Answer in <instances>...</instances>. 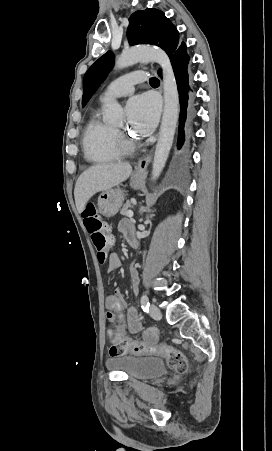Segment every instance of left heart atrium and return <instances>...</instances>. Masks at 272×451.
I'll list each match as a JSON object with an SVG mask.
<instances>
[{
  "label": "left heart atrium",
  "instance_id": "1",
  "mask_svg": "<svg viewBox=\"0 0 272 451\" xmlns=\"http://www.w3.org/2000/svg\"><path fill=\"white\" fill-rule=\"evenodd\" d=\"M126 110L132 131L143 136L153 131L159 115V103L154 97L149 94L133 97Z\"/></svg>",
  "mask_w": 272,
  "mask_h": 451
}]
</instances>
